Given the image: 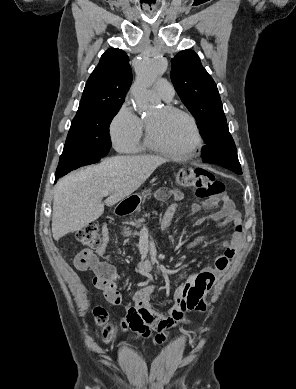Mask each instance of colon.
Wrapping results in <instances>:
<instances>
[{
    "instance_id": "5ec220e1",
    "label": "colon",
    "mask_w": 296,
    "mask_h": 389,
    "mask_svg": "<svg viewBox=\"0 0 296 389\" xmlns=\"http://www.w3.org/2000/svg\"><path fill=\"white\" fill-rule=\"evenodd\" d=\"M175 178L180 186L193 188L196 197L203 200L208 206L215 207L219 203H222L225 198L224 184L205 169L185 167L176 173ZM76 239L84 246L90 248L98 247L103 242V231L100 230L97 224L90 223L76 233ZM84 262V258H78L79 264L82 265ZM94 317L97 324L104 327V337L113 334V327L107 326L108 315L105 309L100 307L96 308L94 310Z\"/></svg>"
}]
</instances>
